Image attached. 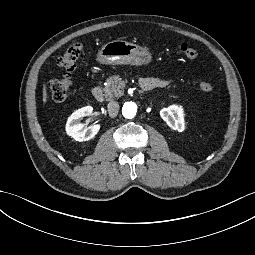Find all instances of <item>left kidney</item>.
<instances>
[{"mask_svg":"<svg viewBox=\"0 0 255 255\" xmlns=\"http://www.w3.org/2000/svg\"><path fill=\"white\" fill-rule=\"evenodd\" d=\"M161 118L173 130L182 132L185 129L184 111L180 105H170L160 111Z\"/></svg>","mask_w":255,"mask_h":255,"instance_id":"1","label":"left kidney"}]
</instances>
